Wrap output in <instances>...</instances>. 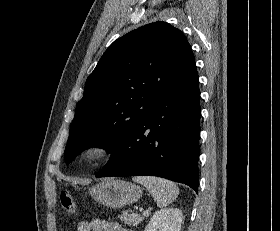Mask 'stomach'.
<instances>
[{
	"label": "stomach",
	"instance_id": "obj_1",
	"mask_svg": "<svg viewBox=\"0 0 280 231\" xmlns=\"http://www.w3.org/2000/svg\"><path fill=\"white\" fill-rule=\"evenodd\" d=\"M89 193L98 203H103L107 207H115V209L123 207L127 203H135L142 197L140 185L123 181V179H104L89 187Z\"/></svg>",
	"mask_w": 280,
	"mask_h": 231
}]
</instances>
